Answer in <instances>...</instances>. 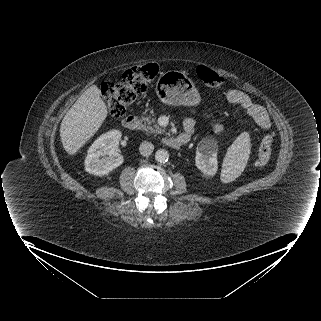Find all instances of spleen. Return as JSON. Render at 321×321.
Returning a JSON list of instances; mask_svg holds the SVG:
<instances>
[{
	"label": "spleen",
	"mask_w": 321,
	"mask_h": 321,
	"mask_svg": "<svg viewBox=\"0 0 321 321\" xmlns=\"http://www.w3.org/2000/svg\"><path fill=\"white\" fill-rule=\"evenodd\" d=\"M250 148L249 133L244 131L228 148L224 157L221 172V179L224 182H230L241 174V171L249 158Z\"/></svg>",
	"instance_id": "spleen-1"
}]
</instances>
